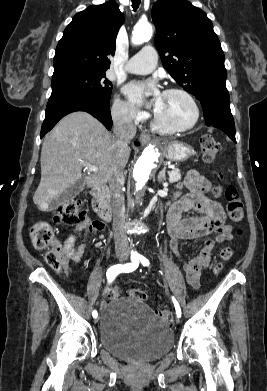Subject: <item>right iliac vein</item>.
<instances>
[{
	"mask_svg": "<svg viewBox=\"0 0 267 391\" xmlns=\"http://www.w3.org/2000/svg\"><path fill=\"white\" fill-rule=\"evenodd\" d=\"M119 260H120V261H124V260H125V257H124V256H119ZM98 321H99V317H96V318L94 319V323L96 324V323H98Z\"/></svg>",
	"mask_w": 267,
	"mask_h": 391,
	"instance_id": "obj_1",
	"label": "right iliac vein"
}]
</instances>
